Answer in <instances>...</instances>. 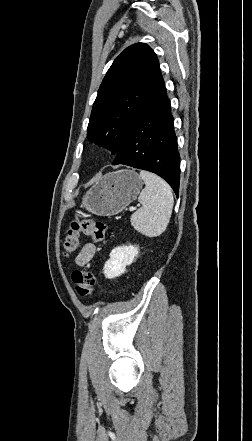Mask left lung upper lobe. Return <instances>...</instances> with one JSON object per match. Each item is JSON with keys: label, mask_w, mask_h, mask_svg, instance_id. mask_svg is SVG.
<instances>
[{"label": "left lung upper lobe", "mask_w": 252, "mask_h": 441, "mask_svg": "<svg viewBox=\"0 0 252 441\" xmlns=\"http://www.w3.org/2000/svg\"><path fill=\"white\" fill-rule=\"evenodd\" d=\"M158 67L156 54L145 43L129 46L114 60L93 105L87 129L90 142L117 154L147 98Z\"/></svg>", "instance_id": "5c2ea615"}]
</instances>
